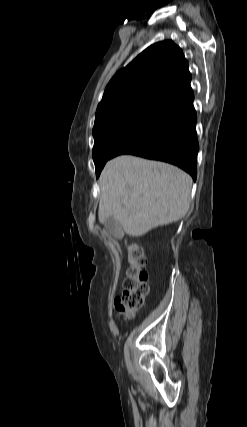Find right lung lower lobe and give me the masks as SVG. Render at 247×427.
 Wrapping results in <instances>:
<instances>
[{
	"instance_id": "right-lung-lower-lobe-1",
	"label": "right lung lower lobe",
	"mask_w": 247,
	"mask_h": 427,
	"mask_svg": "<svg viewBox=\"0 0 247 427\" xmlns=\"http://www.w3.org/2000/svg\"><path fill=\"white\" fill-rule=\"evenodd\" d=\"M191 88L171 97L144 119L112 153L133 154L165 161L188 172L196 180V111Z\"/></svg>"
}]
</instances>
